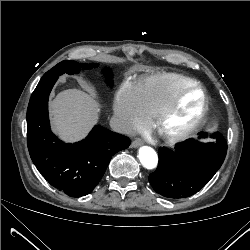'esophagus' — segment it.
Segmentation results:
<instances>
[{
    "label": "esophagus",
    "mask_w": 250,
    "mask_h": 250,
    "mask_svg": "<svg viewBox=\"0 0 250 250\" xmlns=\"http://www.w3.org/2000/svg\"><path fill=\"white\" fill-rule=\"evenodd\" d=\"M142 144L143 143H142L141 139L137 138V139L132 141L131 147L132 148H137V147L141 146Z\"/></svg>",
    "instance_id": "obj_1"
}]
</instances>
